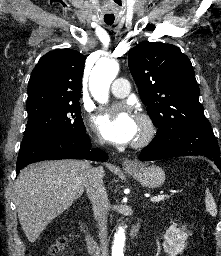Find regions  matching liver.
I'll list each match as a JSON object with an SVG mask.
<instances>
[{"label": "liver", "instance_id": "obj_1", "mask_svg": "<svg viewBox=\"0 0 221 256\" xmlns=\"http://www.w3.org/2000/svg\"><path fill=\"white\" fill-rule=\"evenodd\" d=\"M89 166L86 161L58 160L32 164L21 170L14 197L20 224L31 243L81 197Z\"/></svg>", "mask_w": 221, "mask_h": 256}]
</instances>
